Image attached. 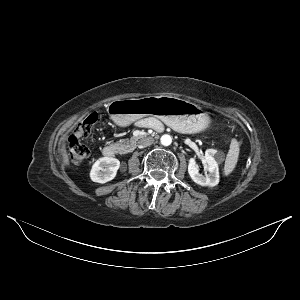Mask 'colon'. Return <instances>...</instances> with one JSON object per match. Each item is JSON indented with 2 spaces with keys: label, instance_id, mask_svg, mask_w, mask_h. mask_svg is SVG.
<instances>
[{
  "label": "colon",
  "instance_id": "colon-1",
  "mask_svg": "<svg viewBox=\"0 0 300 300\" xmlns=\"http://www.w3.org/2000/svg\"><path fill=\"white\" fill-rule=\"evenodd\" d=\"M96 121L97 117L94 114L86 117L79 124H77L73 133L68 136V157L73 164H81L89 156L90 150L88 147V142L91 139L92 129Z\"/></svg>",
  "mask_w": 300,
  "mask_h": 300
}]
</instances>
